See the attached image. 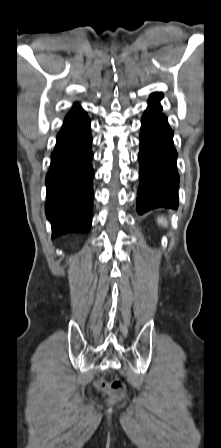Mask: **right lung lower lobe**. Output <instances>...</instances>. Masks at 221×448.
<instances>
[{
    "mask_svg": "<svg viewBox=\"0 0 221 448\" xmlns=\"http://www.w3.org/2000/svg\"><path fill=\"white\" fill-rule=\"evenodd\" d=\"M90 120L74 105L57 135L46 176L45 210L52 238L67 233H88L93 204Z\"/></svg>",
    "mask_w": 221,
    "mask_h": 448,
    "instance_id": "98d812e1",
    "label": "right lung lower lobe"
}]
</instances>
